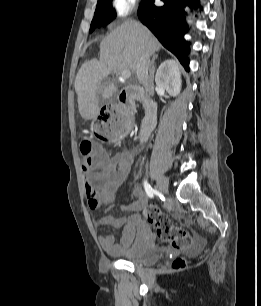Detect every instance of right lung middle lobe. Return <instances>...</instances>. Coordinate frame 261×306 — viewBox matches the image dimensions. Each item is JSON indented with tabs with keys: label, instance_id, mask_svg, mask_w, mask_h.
<instances>
[{
	"label": "right lung middle lobe",
	"instance_id": "dd1d6c3e",
	"mask_svg": "<svg viewBox=\"0 0 261 306\" xmlns=\"http://www.w3.org/2000/svg\"><path fill=\"white\" fill-rule=\"evenodd\" d=\"M115 17L116 12L112 9V0H98L89 32H92L97 27L107 25Z\"/></svg>",
	"mask_w": 261,
	"mask_h": 306
}]
</instances>
